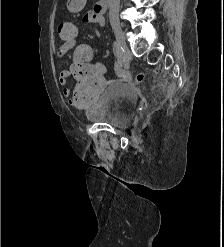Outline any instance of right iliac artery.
I'll use <instances>...</instances> for the list:
<instances>
[{
  "mask_svg": "<svg viewBox=\"0 0 224 247\" xmlns=\"http://www.w3.org/2000/svg\"><path fill=\"white\" fill-rule=\"evenodd\" d=\"M114 50H115V54L117 56V69H120L123 65V54H122V50L118 44V42H114Z\"/></svg>",
  "mask_w": 224,
  "mask_h": 247,
  "instance_id": "1",
  "label": "right iliac artery"
}]
</instances>
